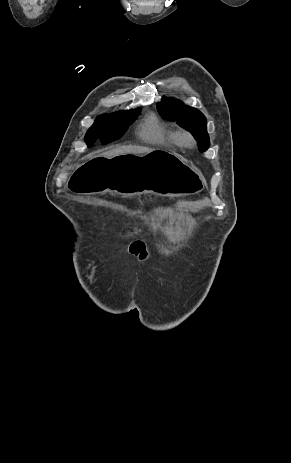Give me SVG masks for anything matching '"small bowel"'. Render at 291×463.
Wrapping results in <instances>:
<instances>
[{
	"mask_svg": "<svg viewBox=\"0 0 291 463\" xmlns=\"http://www.w3.org/2000/svg\"><path fill=\"white\" fill-rule=\"evenodd\" d=\"M130 252L135 255L140 261H143L148 256L146 243L139 238L134 239L129 245Z\"/></svg>",
	"mask_w": 291,
	"mask_h": 463,
	"instance_id": "c3829d8e",
	"label": "small bowel"
}]
</instances>
